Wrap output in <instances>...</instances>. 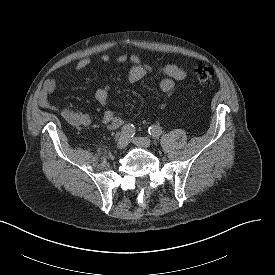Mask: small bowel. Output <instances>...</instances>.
<instances>
[{
  "mask_svg": "<svg viewBox=\"0 0 275 275\" xmlns=\"http://www.w3.org/2000/svg\"><path fill=\"white\" fill-rule=\"evenodd\" d=\"M111 56L107 53L101 56L103 62H109ZM116 60L120 63L129 61L132 64V68L128 74L129 83H136L144 78L148 72L151 71V66L141 61L137 55L127 56L120 54L116 57ZM92 60L89 57L80 59L74 66L72 72H80L87 68L91 64ZM163 78L160 82V89L164 93H170L174 90L175 83L177 81H183L186 79V72L181 67L175 64L165 65L162 69ZM57 83L53 78H49L45 81L43 89L39 95V103L43 107L51 108L59 113V115L69 124L76 127L88 126L91 123V117L88 113L73 110L70 108H57L52 104L49 99V95L56 89ZM109 86L99 88L95 92V98L101 105H105L109 98ZM103 122L108 130H116L123 124V119L117 116L112 110H106L103 114Z\"/></svg>",
  "mask_w": 275,
  "mask_h": 275,
  "instance_id": "1",
  "label": "small bowel"
}]
</instances>
